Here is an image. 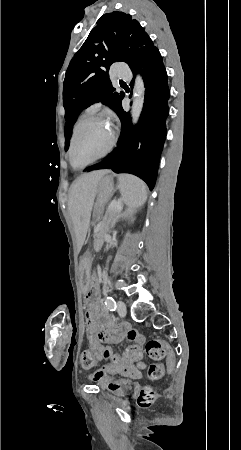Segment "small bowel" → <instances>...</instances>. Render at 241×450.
<instances>
[{
	"mask_svg": "<svg viewBox=\"0 0 241 450\" xmlns=\"http://www.w3.org/2000/svg\"><path fill=\"white\" fill-rule=\"evenodd\" d=\"M84 315L87 325H101L102 317L94 316L100 301L98 298H85ZM116 324H107L105 331L95 330L96 335L90 337L89 345L93 349L94 360H110V364L105 369H98L90 374L89 379L97 385L106 388L111 392H122L131 382L140 380L141 369L145 367L143 361V347L145 337L135 328L123 325L118 331ZM123 341L131 342L121 353H116L113 346Z\"/></svg>",
	"mask_w": 241,
	"mask_h": 450,
	"instance_id": "c3829d8e",
	"label": "small bowel"
}]
</instances>
